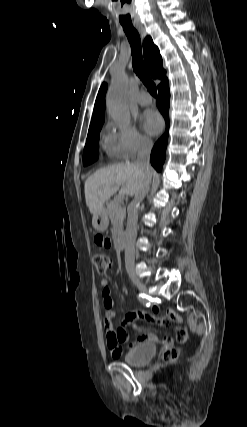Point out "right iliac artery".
Masks as SVG:
<instances>
[{
    "label": "right iliac artery",
    "instance_id": "1",
    "mask_svg": "<svg viewBox=\"0 0 247 427\" xmlns=\"http://www.w3.org/2000/svg\"><path fill=\"white\" fill-rule=\"evenodd\" d=\"M138 299L145 306L148 307L150 305V299H149V297L147 295H145V294H139L138 295Z\"/></svg>",
    "mask_w": 247,
    "mask_h": 427
}]
</instances>
